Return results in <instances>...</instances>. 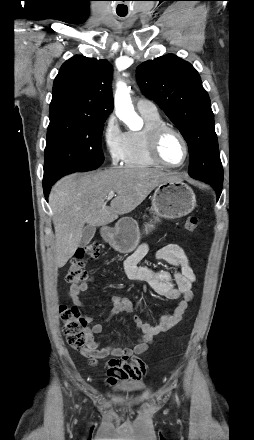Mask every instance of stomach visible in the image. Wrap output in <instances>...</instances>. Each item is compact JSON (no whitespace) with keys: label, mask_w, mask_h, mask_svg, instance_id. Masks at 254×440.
Wrapping results in <instances>:
<instances>
[{"label":"stomach","mask_w":254,"mask_h":440,"mask_svg":"<svg viewBox=\"0 0 254 440\" xmlns=\"http://www.w3.org/2000/svg\"><path fill=\"white\" fill-rule=\"evenodd\" d=\"M195 205V194L183 181L175 179L160 183L152 197L154 221L145 224V232L154 229L159 218L177 219L186 216L193 211ZM102 236L114 250L130 253L138 246L141 233L134 219L123 217L114 228L104 230Z\"/></svg>","instance_id":"stomach-1"}]
</instances>
